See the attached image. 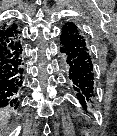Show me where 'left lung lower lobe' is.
Wrapping results in <instances>:
<instances>
[{
    "mask_svg": "<svg viewBox=\"0 0 117 136\" xmlns=\"http://www.w3.org/2000/svg\"><path fill=\"white\" fill-rule=\"evenodd\" d=\"M60 44L63 68L81 105L87 109L86 103H93L95 96L94 58L87 34L76 24L67 22L61 29Z\"/></svg>",
    "mask_w": 117,
    "mask_h": 136,
    "instance_id": "0a47b994",
    "label": "left lung lower lobe"
}]
</instances>
